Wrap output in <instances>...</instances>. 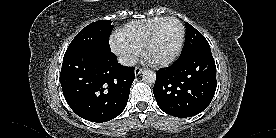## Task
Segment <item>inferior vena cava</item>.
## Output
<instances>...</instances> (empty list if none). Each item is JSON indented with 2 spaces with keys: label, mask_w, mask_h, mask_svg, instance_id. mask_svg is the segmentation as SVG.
I'll use <instances>...</instances> for the list:
<instances>
[{
  "label": "inferior vena cava",
  "mask_w": 276,
  "mask_h": 138,
  "mask_svg": "<svg viewBox=\"0 0 276 138\" xmlns=\"http://www.w3.org/2000/svg\"><path fill=\"white\" fill-rule=\"evenodd\" d=\"M118 61L123 66H134L137 63V58L132 55H123L119 57Z\"/></svg>",
  "instance_id": "inferior-vena-cava-1"
}]
</instances>
